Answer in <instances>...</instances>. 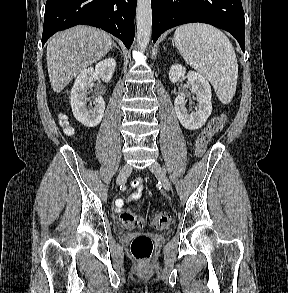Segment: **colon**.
Masks as SVG:
<instances>
[{
  "label": "colon",
  "instance_id": "obj_1",
  "mask_svg": "<svg viewBox=\"0 0 288 293\" xmlns=\"http://www.w3.org/2000/svg\"><path fill=\"white\" fill-rule=\"evenodd\" d=\"M227 117L224 114L213 117L207 126L198 135L195 145V153L197 157L203 156L206 151L207 145L211 138L219 133L225 126ZM61 123L65 128L67 134H73V130L68 126L65 117L61 118ZM136 206L124 209L120 214V219L123 225L129 229L142 227L145 225V220L138 218L135 214ZM150 225L155 229H164L170 223V216L165 212L154 214L150 220ZM153 250V242L150 237L146 235L136 236L131 243L132 255L137 260H147L150 258Z\"/></svg>",
  "mask_w": 288,
  "mask_h": 293
}]
</instances>
